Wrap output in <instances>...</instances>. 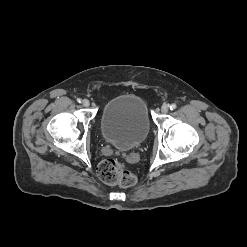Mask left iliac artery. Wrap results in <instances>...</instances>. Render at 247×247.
<instances>
[{
    "label": "left iliac artery",
    "instance_id": "left-iliac-artery-1",
    "mask_svg": "<svg viewBox=\"0 0 247 247\" xmlns=\"http://www.w3.org/2000/svg\"><path fill=\"white\" fill-rule=\"evenodd\" d=\"M177 108V105L175 103L171 104L170 105V109L171 110H175Z\"/></svg>",
    "mask_w": 247,
    "mask_h": 247
}]
</instances>
